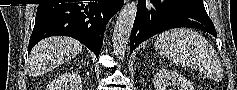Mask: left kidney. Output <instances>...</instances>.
Segmentation results:
<instances>
[{"label":"left kidney","instance_id":"obj_1","mask_svg":"<svg viewBox=\"0 0 237 90\" xmlns=\"http://www.w3.org/2000/svg\"><path fill=\"white\" fill-rule=\"evenodd\" d=\"M155 90H194L190 80L172 70H159L154 76Z\"/></svg>","mask_w":237,"mask_h":90}]
</instances>
